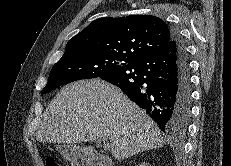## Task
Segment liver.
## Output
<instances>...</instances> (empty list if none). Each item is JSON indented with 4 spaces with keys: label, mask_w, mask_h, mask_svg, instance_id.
I'll list each match as a JSON object with an SVG mask.
<instances>
[{
    "label": "liver",
    "mask_w": 231,
    "mask_h": 166,
    "mask_svg": "<svg viewBox=\"0 0 231 166\" xmlns=\"http://www.w3.org/2000/svg\"><path fill=\"white\" fill-rule=\"evenodd\" d=\"M99 137L110 140L117 160L166 143L145 111L101 79L64 86L46 108L36 134L41 143L76 144Z\"/></svg>",
    "instance_id": "6515ba94"
}]
</instances>
